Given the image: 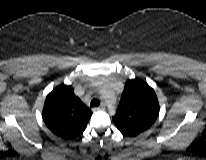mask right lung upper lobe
I'll return each mask as SVG.
<instances>
[{"label":"right lung upper lobe","instance_id":"right-lung-upper-lobe-1","mask_svg":"<svg viewBox=\"0 0 206 160\" xmlns=\"http://www.w3.org/2000/svg\"><path fill=\"white\" fill-rule=\"evenodd\" d=\"M91 115V110L74 94L71 85L53 89L46 97L42 112L47 127L64 139L80 136Z\"/></svg>","mask_w":206,"mask_h":160}]
</instances>
